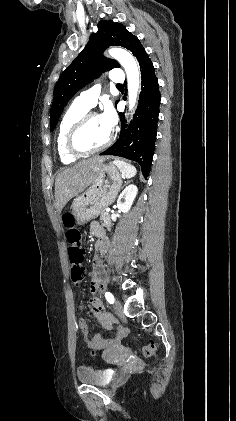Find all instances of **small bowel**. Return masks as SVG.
I'll use <instances>...</instances> for the list:
<instances>
[{"mask_svg":"<svg viewBox=\"0 0 236 421\" xmlns=\"http://www.w3.org/2000/svg\"><path fill=\"white\" fill-rule=\"evenodd\" d=\"M90 228H91L92 233L95 234V235H97V233L99 231H104L103 228H102V226L99 223H97V222L91 223ZM92 291L93 292L95 291V286H92ZM93 307H97L98 309H101V304L99 303V301L97 299H94V300L91 301L90 308H93ZM110 325H111V323H109V327H110ZM80 326H81V328L83 326H86L85 325V322L82 321L80 323ZM123 334H125V329L124 328H119L118 335L121 336ZM111 343H113V342H111ZM109 345H103V346L102 345H99V346L106 347V346H109Z\"/></svg>","mask_w":236,"mask_h":421,"instance_id":"small-bowel-1","label":"small bowel"}]
</instances>
